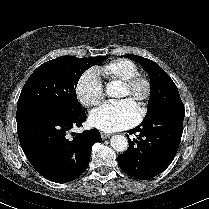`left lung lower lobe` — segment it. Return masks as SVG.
Listing matches in <instances>:
<instances>
[{
    "mask_svg": "<svg viewBox=\"0 0 209 209\" xmlns=\"http://www.w3.org/2000/svg\"><path fill=\"white\" fill-rule=\"evenodd\" d=\"M184 116V109L161 111L128 131L138 133V140L129 141L128 150L118 155L120 168L140 180L162 173L177 153Z\"/></svg>",
    "mask_w": 209,
    "mask_h": 209,
    "instance_id": "obj_1",
    "label": "left lung lower lobe"
}]
</instances>
